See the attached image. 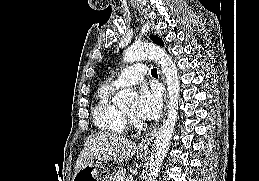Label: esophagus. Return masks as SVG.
I'll use <instances>...</instances> for the list:
<instances>
[{
    "instance_id": "esophagus-1",
    "label": "esophagus",
    "mask_w": 259,
    "mask_h": 181,
    "mask_svg": "<svg viewBox=\"0 0 259 181\" xmlns=\"http://www.w3.org/2000/svg\"><path fill=\"white\" fill-rule=\"evenodd\" d=\"M165 83V81H164ZM167 107V101H166V91L164 96V111H166ZM158 129L153 130L151 133H149L144 140L139 144L138 148L139 150H147L152 145L153 139L157 133Z\"/></svg>"
}]
</instances>
